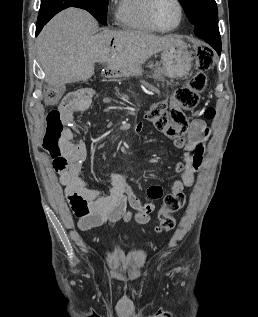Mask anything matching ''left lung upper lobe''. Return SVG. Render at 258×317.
Wrapping results in <instances>:
<instances>
[{
  "label": "left lung upper lobe",
  "instance_id": "5c2ea615",
  "mask_svg": "<svg viewBox=\"0 0 258 317\" xmlns=\"http://www.w3.org/2000/svg\"><path fill=\"white\" fill-rule=\"evenodd\" d=\"M194 27L218 28V10L215 0H179Z\"/></svg>",
  "mask_w": 258,
  "mask_h": 317
}]
</instances>
